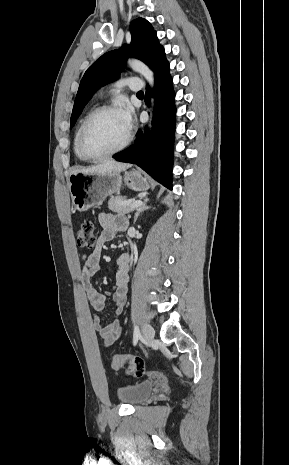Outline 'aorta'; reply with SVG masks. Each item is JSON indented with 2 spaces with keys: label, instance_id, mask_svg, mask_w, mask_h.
Masks as SVG:
<instances>
[{
  "label": "aorta",
  "instance_id": "obj_1",
  "mask_svg": "<svg viewBox=\"0 0 289 465\" xmlns=\"http://www.w3.org/2000/svg\"><path fill=\"white\" fill-rule=\"evenodd\" d=\"M128 65L136 72L140 73L149 83L151 87L154 86V73L151 69H149L143 62L137 60V59H129L128 60ZM151 116H152V110L154 106V100H151ZM149 128H152L151 122L149 123Z\"/></svg>",
  "mask_w": 289,
  "mask_h": 465
}]
</instances>
